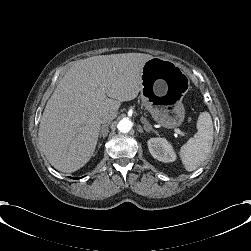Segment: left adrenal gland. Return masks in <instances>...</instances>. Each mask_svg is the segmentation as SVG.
Instances as JSON below:
<instances>
[{"mask_svg": "<svg viewBox=\"0 0 251 251\" xmlns=\"http://www.w3.org/2000/svg\"><path fill=\"white\" fill-rule=\"evenodd\" d=\"M141 122L144 124V130L147 132H154L156 135H158V132L152 128V126L149 124V122L144 118L143 116L141 117Z\"/></svg>", "mask_w": 251, "mask_h": 251, "instance_id": "obj_1", "label": "left adrenal gland"}]
</instances>
